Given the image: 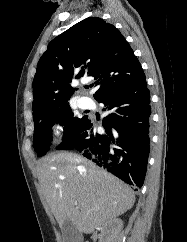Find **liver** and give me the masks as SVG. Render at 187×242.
Masks as SVG:
<instances>
[{"mask_svg":"<svg viewBox=\"0 0 187 242\" xmlns=\"http://www.w3.org/2000/svg\"><path fill=\"white\" fill-rule=\"evenodd\" d=\"M36 174L59 226L70 220L80 233H92L131 209L135 202L128 185L73 153L44 157L38 162Z\"/></svg>","mask_w":187,"mask_h":242,"instance_id":"liver-1","label":"liver"}]
</instances>
